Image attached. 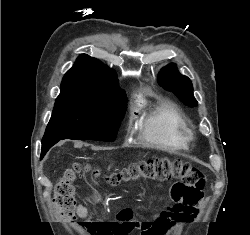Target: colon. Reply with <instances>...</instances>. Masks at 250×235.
Returning a JSON list of instances; mask_svg holds the SVG:
<instances>
[{
  "label": "colon",
  "mask_w": 250,
  "mask_h": 235,
  "mask_svg": "<svg viewBox=\"0 0 250 235\" xmlns=\"http://www.w3.org/2000/svg\"><path fill=\"white\" fill-rule=\"evenodd\" d=\"M82 171L97 170L90 166L82 167L74 163L66 168L60 176L55 187L53 203L58 214L68 222L76 220L77 200L75 197L73 181ZM150 178L157 181L176 179L171 188V199L176 204L197 206L200 203L202 191L206 180L202 171L191 163L181 159H150L131 164L120 173H113L106 180L116 185L121 181L137 178ZM80 225L87 227L95 235H130L134 230H142V235H162L164 225L156 220L154 222L139 223L134 220L128 209L121 210L111 217H100L84 222Z\"/></svg>",
  "instance_id": "obj_1"
}]
</instances>
